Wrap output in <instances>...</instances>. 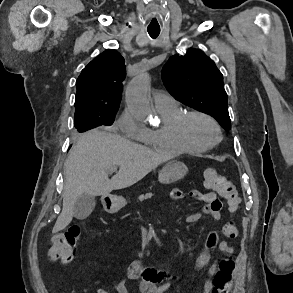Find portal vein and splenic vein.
Instances as JSON below:
<instances>
[{
    "label": "portal vein and splenic vein",
    "mask_w": 293,
    "mask_h": 293,
    "mask_svg": "<svg viewBox=\"0 0 293 293\" xmlns=\"http://www.w3.org/2000/svg\"><path fill=\"white\" fill-rule=\"evenodd\" d=\"M117 170V167H113L110 171L113 172V171H116Z\"/></svg>",
    "instance_id": "obj_1"
}]
</instances>
